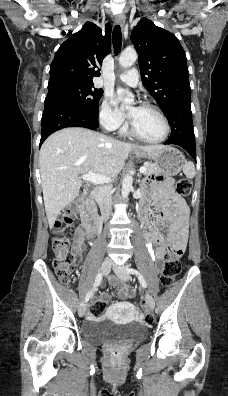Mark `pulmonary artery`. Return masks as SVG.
<instances>
[{
    "mask_svg": "<svg viewBox=\"0 0 228 396\" xmlns=\"http://www.w3.org/2000/svg\"><path fill=\"white\" fill-rule=\"evenodd\" d=\"M119 79L129 86L135 87L139 82L138 71L136 69H131L128 72L120 74Z\"/></svg>",
    "mask_w": 228,
    "mask_h": 396,
    "instance_id": "1",
    "label": "pulmonary artery"
}]
</instances>
